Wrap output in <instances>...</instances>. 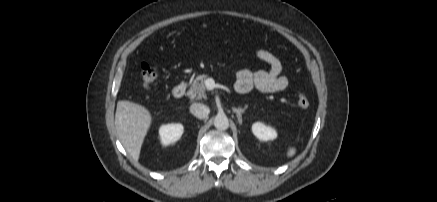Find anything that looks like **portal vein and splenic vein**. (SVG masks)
Returning a JSON list of instances; mask_svg holds the SVG:
<instances>
[{"mask_svg":"<svg viewBox=\"0 0 437 202\" xmlns=\"http://www.w3.org/2000/svg\"><path fill=\"white\" fill-rule=\"evenodd\" d=\"M205 86L208 90H212L215 87V82L213 79H207L205 82Z\"/></svg>","mask_w":437,"mask_h":202,"instance_id":"1","label":"portal vein and splenic vein"}]
</instances>
